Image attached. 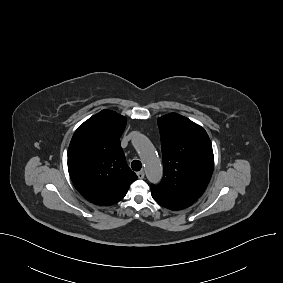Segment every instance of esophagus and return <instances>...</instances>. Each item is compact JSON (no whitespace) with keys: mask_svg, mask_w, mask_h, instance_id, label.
I'll list each match as a JSON object with an SVG mask.
<instances>
[{"mask_svg":"<svg viewBox=\"0 0 283 283\" xmlns=\"http://www.w3.org/2000/svg\"><path fill=\"white\" fill-rule=\"evenodd\" d=\"M137 176H138L139 179H143L144 176H145L144 171L141 170V171L137 172Z\"/></svg>","mask_w":283,"mask_h":283,"instance_id":"esophagus-1","label":"esophagus"}]
</instances>
